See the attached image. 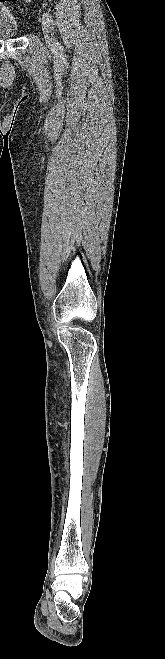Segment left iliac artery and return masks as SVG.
Wrapping results in <instances>:
<instances>
[{
  "mask_svg": "<svg viewBox=\"0 0 165 659\" xmlns=\"http://www.w3.org/2000/svg\"><path fill=\"white\" fill-rule=\"evenodd\" d=\"M43 18H44V19L49 23V25H51V27L53 28L54 20H53L52 16H51L48 12H45V13L43 14ZM55 42H56L57 45H59V42H58L57 40H55Z\"/></svg>",
  "mask_w": 165,
  "mask_h": 659,
  "instance_id": "44dca946",
  "label": "left iliac artery"
}]
</instances>
